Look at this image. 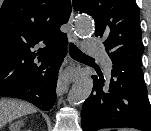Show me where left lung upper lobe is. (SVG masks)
I'll list each match as a JSON object with an SVG mask.
<instances>
[{"mask_svg": "<svg viewBox=\"0 0 151 131\" xmlns=\"http://www.w3.org/2000/svg\"><path fill=\"white\" fill-rule=\"evenodd\" d=\"M73 8L91 15L113 67L141 68L144 51L140 10L135 0H73Z\"/></svg>", "mask_w": 151, "mask_h": 131, "instance_id": "left-lung-upper-lobe-1", "label": "left lung upper lobe"}]
</instances>
